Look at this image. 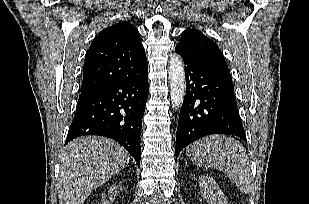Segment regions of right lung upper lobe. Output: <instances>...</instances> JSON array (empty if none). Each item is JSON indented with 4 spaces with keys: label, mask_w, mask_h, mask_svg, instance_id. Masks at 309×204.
<instances>
[{
    "label": "right lung upper lobe",
    "mask_w": 309,
    "mask_h": 204,
    "mask_svg": "<svg viewBox=\"0 0 309 204\" xmlns=\"http://www.w3.org/2000/svg\"><path fill=\"white\" fill-rule=\"evenodd\" d=\"M147 67L139 32L129 21L105 28L87 51L81 95L141 73Z\"/></svg>",
    "instance_id": "obj_1"
}]
</instances>
